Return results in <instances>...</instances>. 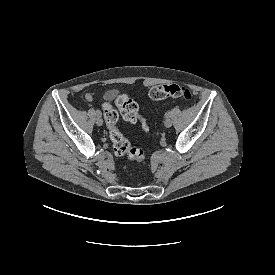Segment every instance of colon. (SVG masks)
Listing matches in <instances>:
<instances>
[{"mask_svg":"<svg viewBox=\"0 0 275 275\" xmlns=\"http://www.w3.org/2000/svg\"><path fill=\"white\" fill-rule=\"evenodd\" d=\"M149 96L153 100H162L168 97L183 98L186 101L192 99L190 90L176 83L153 86L149 91ZM115 106L120 109L125 120L130 123L140 124L145 132L150 131V122L139 111L136 102L130 99L126 94H120L117 97ZM115 106L109 103L103 105V113L107 122L114 153L117 156H125L128 160L138 163L142 168H146L148 162L145 152L140 148L131 147L130 142L117 128L118 111Z\"/></svg>","mask_w":275,"mask_h":275,"instance_id":"colon-1","label":"colon"}]
</instances>
